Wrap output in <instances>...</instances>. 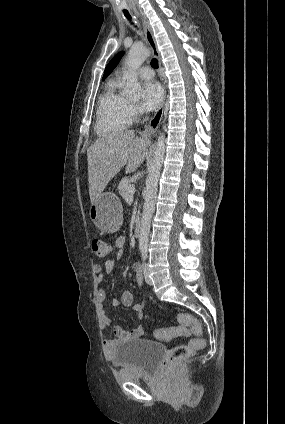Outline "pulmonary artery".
Returning <instances> with one entry per match:
<instances>
[{
  "label": "pulmonary artery",
  "instance_id": "obj_1",
  "mask_svg": "<svg viewBox=\"0 0 285 424\" xmlns=\"http://www.w3.org/2000/svg\"><path fill=\"white\" fill-rule=\"evenodd\" d=\"M137 74H138L141 78L146 79V80H150V79H152V78H153V76H154V72H153V70H152L150 67H147V66H144V67L139 68V69L137 70Z\"/></svg>",
  "mask_w": 285,
  "mask_h": 424
}]
</instances>
